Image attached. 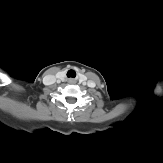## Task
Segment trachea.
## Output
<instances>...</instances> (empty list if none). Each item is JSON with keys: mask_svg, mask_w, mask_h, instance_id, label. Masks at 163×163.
I'll return each mask as SVG.
<instances>
[{"mask_svg": "<svg viewBox=\"0 0 163 163\" xmlns=\"http://www.w3.org/2000/svg\"><path fill=\"white\" fill-rule=\"evenodd\" d=\"M70 73H73V75H70ZM67 75H68V77H73L74 78L76 76V73L73 70H69Z\"/></svg>", "mask_w": 163, "mask_h": 163, "instance_id": "1", "label": "trachea"}]
</instances>
